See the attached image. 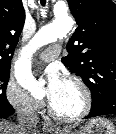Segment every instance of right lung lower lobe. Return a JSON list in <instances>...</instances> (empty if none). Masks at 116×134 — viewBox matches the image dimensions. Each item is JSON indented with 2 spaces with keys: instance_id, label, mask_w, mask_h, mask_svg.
Returning a JSON list of instances; mask_svg holds the SVG:
<instances>
[{
  "instance_id": "1",
  "label": "right lung lower lobe",
  "mask_w": 116,
  "mask_h": 134,
  "mask_svg": "<svg viewBox=\"0 0 116 134\" xmlns=\"http://www.w3.org/2000/svg\"><path fill=\"white\" fill-rule=\"evenodd\" d=\"M14 112H15V110L13 108L11 111H9L7 113H4V115L0 114V118H6V117H9V116H12L14 114Z\"/></svg>"
}]
</instances>
